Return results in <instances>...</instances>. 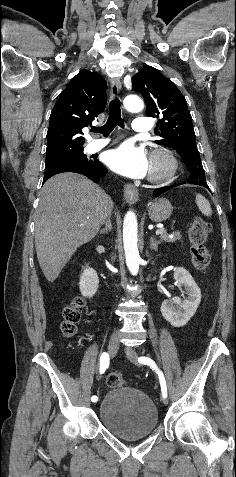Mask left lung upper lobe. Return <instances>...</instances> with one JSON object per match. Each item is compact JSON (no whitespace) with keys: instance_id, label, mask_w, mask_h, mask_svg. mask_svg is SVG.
I'll use <instances>...</instances> for the list:
<instances>
[{"instance_id":"obj_1","label":"left lung upper lobe","mask_w":236,"mask_h":477,"mask_svg":"<svg viewBox=\"0 0 236 477\" xmlns=\"http://www.w3.org/2000/svg\"><path fill=\"white\" fill-rule=\"evenodd\" d=\"M132 90L144 97L147 116L160 118L155 133L163 139L156 142L180 154L191 174L190 184H207L196 147L192 117L179 89L159 70L145 66L133 76Z\"/></svg>"}]
</instances>
